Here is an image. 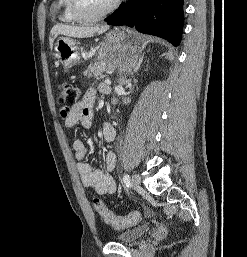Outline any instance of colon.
Listing matches in <instances>:
<instances>
[{
	"label": "colon",
	"instance_id": "colon-1",
	"mask_svg": "<svg viewBox=\"0 0 247 257\" xmlns=\"http://www.w3.org/2000/svg\"><path fill=\"white\" fill-rule=\"evenodd\" d=\"M59 103L65 108L69 109L74 106L81 95L80 89L68 82H62L59 85ZM93 206L97 214L102 218V220L116 229H123L136 225L140 219L141 215L138 211H131L126 216H118L114 214L110 209L106 207L104 202L95 198L93 200Z\"/></svg>",
	"mask_w": 247,
	"mask_h": 257
}]
</instances>
